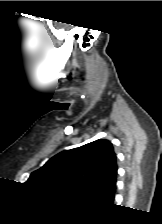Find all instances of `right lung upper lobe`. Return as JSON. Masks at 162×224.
Returning a JSON list of instances; mask_svg holds the SVG:
<instances>
[{
	"mask_svg": "<svg viewBox=\"0 0 162 224\" xmlns=\"http://www.w3.org/2000/svg\"><path fill=\"white\" fill-rule=\"evenodd\" d=\"M116 155L107 140H96L66 150L34 171L26 184L32 188L79 196L90 204L111 202L116 191Z\"/></svg>",
	"mask_w": 162,
	"mask_h": 224,
	"instance_id": "cb5924a9",
	"label": "right lung upper lobe"
}]
</instances>
